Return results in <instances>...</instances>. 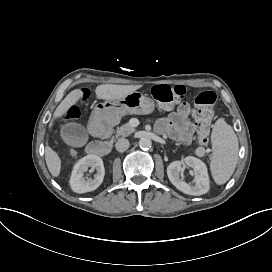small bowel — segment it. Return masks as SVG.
I'll return each instance as SVG.
<instances>
[{
	"label": "small bowel",
	"mask_w": 272,
	"mask_h": 272,
	"mask_svg": "<svg viewBox=\"0 0 272 272\" xmlns=\"http://www.w3.org/2000/svg\"><path fill=\"white\" fill-rule=\"evenodd\" d=\"M196 115L197 111L192 105L182 102L176 110L169 112L166 117L160 118L156 122L155 128L157 132L168 134L175 141L188 145L196 129L198 130L197 122L196 124L193 122Z\"/></svg>",
	"instance_id": "c3829d8e"
}]
</instances>
